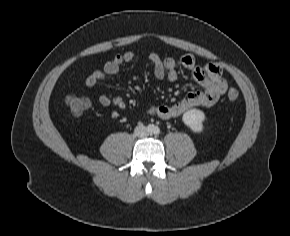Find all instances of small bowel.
Returning <instances> with one entry per match:
<instances>
[{"instance_id": "obj_1", "label": "small bowel", "mask_w": 290, "mask_h": 236, "mask_svg": "<svg viewBox=\"0 0 290 236\" xmlns=\"http://www.w3.org/2000/svg\"><path fill=\"white\" fill-rule=\"evenodd\" d=\"M134 59L135 55L131 51L116 54L104 64L102 69H96L87 76L85 80L86 86L92 88L100 81L117 75L124 63H130ZM149 60L153 65L156 78L176 82L179 78L177 67L180 65L192 72L194 80L201 87V90L189 92L175 104L158 105L149 108L147 114L150 116H156L161 119L175 118L191 108L212 107L226 90V79L222 76L221 67L217 64L210 63L201 66L197 63L195 57L190 54H183L178 60H175L170 57L161 58L159 55L152 53L149 55ZM99 102L103 106L114 105L120 109H124L126 106L121 97L108 94L100 95Z\"/></svg>"}]
</instances>
